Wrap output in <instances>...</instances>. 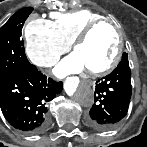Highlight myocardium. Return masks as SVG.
Here are the masks:
<instances>
[{
  "label": "myocardium",
  "instance_id": "f54148a6",
  "mask_svg": "<svg viewBox=\"0 0 147 147\" xmlns=\"http://www.w3.org/2000/svg\"><path fill=\"white\" fill-rule=\"evenodd\" d=\"M103 25L111 26L116 31L118 43L112 60L106 66L96 70H88V73L94 77H100L106 75L109 72H111L113 69H115L116 66L118 65L123 51V38L120 33V29L117 26H115L110 20L107 19L96 20L91 22L85 28H83L71 43V48L75 51L79 45H81L86 41V39L89 37V35L92 33L93 30Z\"/></svg>",
  "mask_w": 147,
  "mask_h": 147
}]
</instances>
